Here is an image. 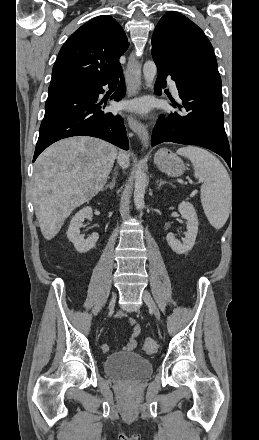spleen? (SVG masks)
Masks as SVG:
<instances>
[{
  "instance_id": "1",
  "label": "spleen",
  "mask_w": 259,
  "mask_h": 440,
  "mask_svg": "<svg viewBox=\"0 0 259 440\" xmlns=\"http://www.w3.org/2000/svg\"><path fill=\"white\" fill-rule=\"evenodd\" d=\"M176 153L192 162L194 176L203 181L200 191L205 215L215 229L222 228L231 209L232 184L226 168L213 154L199 147H182Z\"/></svg>"
}]
</instances>
